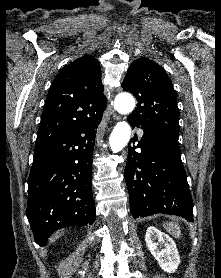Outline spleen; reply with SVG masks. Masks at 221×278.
<instances>
[{
    "label": "spleen",
    "instance_id": "3e777b00",
    "mask_svg": "<svg viewBox=\"0 0 221 278\" xmlns=\"http://www.w3.org/2000/svg\"><path fill=\"white\" fill-rule=\"evenodd\" d=\"M164 228L168 233H170L172 236L179 238L181 235L180 226L177 223L173 222H166L163 224Z\"/></svg>",
    "mask_w": 221,
    "mask_h": 278
}]
</instances>
